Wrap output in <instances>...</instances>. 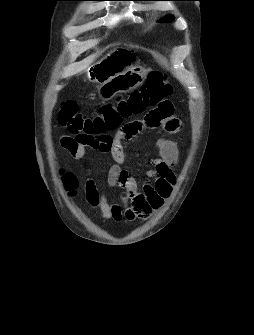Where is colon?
<instances>
[{"mask_svg": "<svg viewBox=\"0 0 254 335\" xmlns=\"http://www.w3.org/2000/svg\"><path fill=\"white\" fill-rule=\"evenodd\" d=\"M171 93L172 86L165 75L153 71L143 85L126 96H117L114 103L105 104L99 113L86 115L79 111L75 101H63L58 111V120L62 127L76 134L79 141L105 152L110 150L112 143L108 132L119 129L122 121L130 115L162 104V98H167Z\"/></svg>", "mask_w": 254, "mask_h": 335, "instance_id": "1", "label": "colon"}]
</instances>
